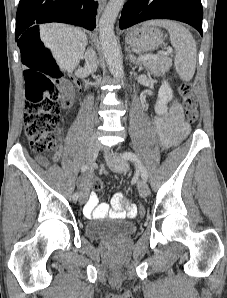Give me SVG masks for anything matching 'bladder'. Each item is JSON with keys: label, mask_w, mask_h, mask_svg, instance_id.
<instances>
[{"label": "bladder", "mask_w": 227, "mask_h": 298, "mask_svg": "<svg viewBox=\"0 0 227 298\" xmlns=\"http://www.w3.org/2000/svg\"><path fill=\"white\" fill-rule=\"evenodd\" d=\"M136 225L129 220L100 219L86 224L85 235L90 240H113L135 233Z\"/></svg>", "instance_id": "bladder-1"}]
</instances>
